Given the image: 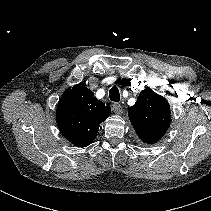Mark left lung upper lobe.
<instances>
[{
	"label": "left lung upper lobe",
	"instance_id": "obj_1",
	"mask_svg": "<svg viewBox=\"0 0 211 211\" xmlns=\"http://www.w3.org/2000/svg\"><path fill=\"white\" fill-rule=\"evenodd\" d=\"M128 115L138 137L148 144L159 141L171 122L167 100L149 88L141 91L135 105L128 109Z\"/></svg>",
	"mask_w": 211,
	"mask_h": 211
}]
</instances>
